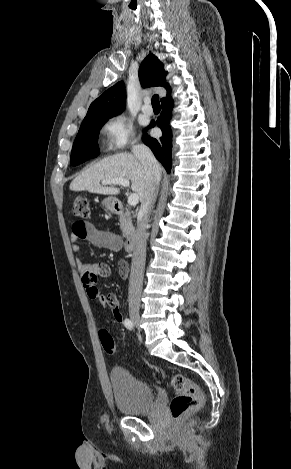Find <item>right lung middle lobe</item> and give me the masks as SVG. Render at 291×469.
Masks as SVG:
<instances>
[{
  "label": "right lung middle lobe",
  "mask_w": 291,
  "mask_h": 469,
  "mask_svg": "<svg viewBox=\"0 0 291 469\" xmlns=\"http://www.w3.org/2000/svg\"><path fill=\"white\" fill-rule=\"evenodd\" d=\"M111 117L83 120L71 151V165H79L99 155L97 137L104 123Z\"/></svg>",
  "instance_id": "1"
}]
</instances>
